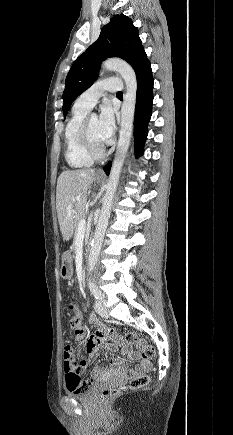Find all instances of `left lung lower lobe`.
Returning a JSON list of instances; mask_svg holds the SVG:
<instances>
[{
  "instance_id": "1",
  "label": "left lung lower lobe",
  "mask_w": 233,
  "mask_h": 435,
  "mask_svg": "<svg viewBox=\"0 0 233 435\" xmlns=\"http://www.w3.org/2000/svg\"><path fill=\"white\" fill-rule=\"evenodd\" d=\"M153 76L151 65L144 67L137 75V93L134 119V144L136 157L143 154V147L148 134V123L152 114L153 104ZM111 162L104 166L108 175Z\"/></svg>"
}]
</instances>
